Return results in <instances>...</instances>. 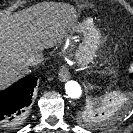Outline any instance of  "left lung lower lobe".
Listing matches in <instances>:
<instances>
[{"label":"left lung lower lobe","mask_w":133,"mask_h":133,"mask_svg":"<svg viewBox=\"0 0 133 133\" xmlns=\"http://www.w3.org/2000/svg\"><path fill=\"white\" fill-rule=\"evenodd\" d=\"M114 113L116 114V112H114ZM101 123H102V124H104V123H105V121H101ZM107 123H108V122H107Z\"/></svg>","instance_id":"0a47b994"}]
</instances>
